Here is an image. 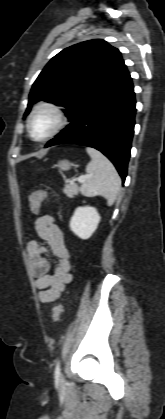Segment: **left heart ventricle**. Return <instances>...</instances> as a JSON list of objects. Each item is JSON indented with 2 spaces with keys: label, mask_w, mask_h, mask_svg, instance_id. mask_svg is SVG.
Segmentation results:
<instances>
[{
  "label": "left heart ventricle",
  "mask_w": 165,
  "mask_h": 419,
  "mask_svg": "<svg viewBox=\"0 0 165 419\" xmlns=\"http://www.w3.org/2000/svg\"><path fill=\"white\" fill-rule=\"evenodd\" d=\"M55 124L54 115L46 110L38 112L32 120L31 131L35 138L48 134Z\"/></svg>",
  "instance_id": "1"
}]
</instances>
